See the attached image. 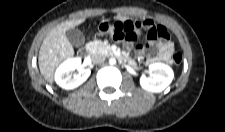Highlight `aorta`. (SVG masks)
Returning a JSON list of instances; mask_svg holds the SVG:
<instances>
[{"mask_svg":"<svg viewBox=\"0 0 225 132\" xmlns=\"http://www.w3.org/2000/svg\"><path fill=\"white\" fill-rule=\"evenodd\" d=\"M109 62H110L111 65H113V64L116 63V60L114 58H111Z\"/></svg>","mask_w":225,"mask_h":132,"instance_id":"762f6f07","label":"aorta"}]
</instances>
